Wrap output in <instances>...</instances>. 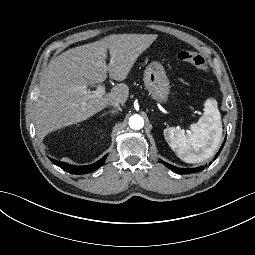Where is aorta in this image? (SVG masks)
<instances>
[{
    "label": "aorta",
    "instance_id": "aorta-1",
    "mask_svg": "<svg viewBox=\"0 0 255 255\" xmlns=\"http://www.w3.org/2000/svg\"><path fill=\"white\" fill-rule=\"evenodd\" d=\"M129 126L132 129L139 130L144 126V120L140 115L134 114L129 119Z\"/></svg>",
    "mask_w": 255,
    "mask_h": 255
}]
</instances>
